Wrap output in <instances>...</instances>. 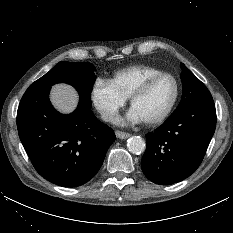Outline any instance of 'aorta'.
<instances>
[{"label":"aorta","mask_w":233,"mask_h":233,"mask_svg":"<svg viewBox=\"0 0 233 233\" xmlns=\"http://www.w3.org/2000/svg\"><path fill=\"white\" fill-rule=\"evenodd\" d=\"M127 148L133 154H141L145 151L146 143L140 136H133L128 139Z\"/></svg>","instance_id":"1"}]
</instances>
